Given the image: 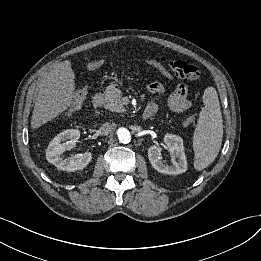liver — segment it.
Instances as JSON below:
<instances>
[{
	"label": "liver",
	"instance_id": "obj_1",
	"mask_svg": "<svg viewBox=\"0 0 261 261\" xmlns=\"http://www.w3.org/2000/svg\"><path fill=\"white\" fill-rule=\"evenodd\" d=\"M75 74L69 60L57 64L44 78L34 106L31 128L36 129L69 108L74 98Z\"/></svg>",
	"mask_w": 261,
	"mask_h": 261
}]
</instances>
